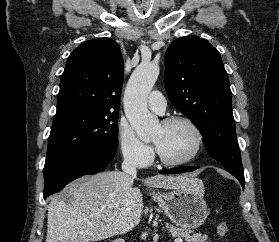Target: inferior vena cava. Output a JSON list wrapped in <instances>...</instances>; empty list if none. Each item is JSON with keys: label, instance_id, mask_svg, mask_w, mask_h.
<instances>
[{"label": "inferior vena cava", "instance_id": "602c4592", "mask_svg": "<svg viewBox=\"0 0 279 242\" xmlns=\"http://www.w3.org/2000/svg\"><path fill=\"white\" fill-rule=\"evenodd\" d=\"M122 170L125 174L132 176V178L136 177V163L132 158L126 157L122 163Z\"/></svg>", "mask_w": 279, "mask_h": 242}]
</instances>
